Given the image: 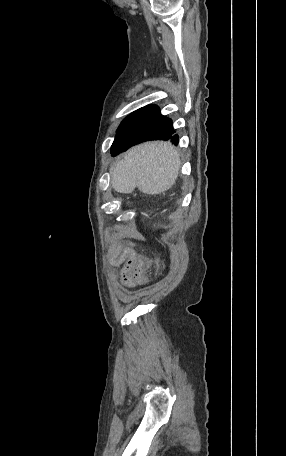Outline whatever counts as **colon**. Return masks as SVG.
<instances>
[{"label": "colon", "mask_w": 286, "mask_h": 456, "mask_svg": "<svg viewBox=\"0 0 286 456\" xmlns=\"http://www.w3.org/2000/svg\"><path fill=\"white\" fill-rule=\"evenodd\" d=\"M152 264V260L146 256H137L132 269V275L137 282H145L147 280L146 271Z\"/></svg>", "instance_id": "obj_1"}]
</instances>
